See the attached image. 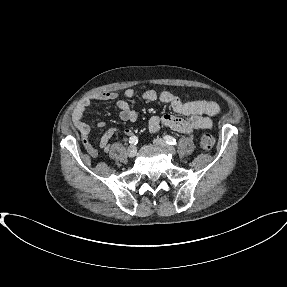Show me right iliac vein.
<instances>
[{
	"instance_id": "1",
	"label": "right iliac vein",
	"mask_w": 287,
	"mask_h": 287,
	"mask_svg": "<svg viewBox=\"0 0 287 287\" xmlns=\"http://www.w3.org/2000/svg\"><path fill=\"white\" fill-rule=\"evenodd\" d=\"M136 152H137V149L134 145L132 146H129L128 149H127V155L129 157H134L136 155Z\"/></svg>"
}]
</instances>
